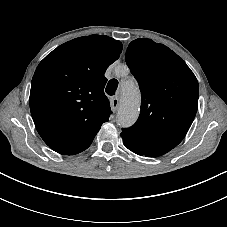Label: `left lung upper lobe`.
Instances as JSON below:
<instances>
[{"mask_svg":"<svg viewBox=\"0 0 227 227\" xmlns=\"http://www.w3.org/2000/svg\"><path fill=\"white\" fill-rule=\"evenodd\" d=\"M125 60L139 83L141 112L132 127L122 129L123 143L161 156L183 140L194 120L197 79L175 52L151 39L132 41Z\"/></svg>","mask_w":227,"mask_h":227,"instance_id":"5c2ea615","label":"left lung upper lobe"}]
</instances>
